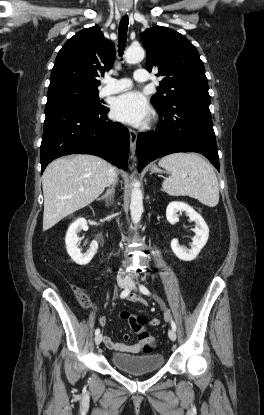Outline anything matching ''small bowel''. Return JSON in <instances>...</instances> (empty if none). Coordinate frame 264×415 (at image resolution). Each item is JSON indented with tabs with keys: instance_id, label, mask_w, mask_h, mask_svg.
<instances>
[{
	"instance_id": "obj_1",
	"label": "small bowel",
	"mask_w": 264,
	"mask_h": 415,
	"mask_svg": "<svg viewBox=\"0 0 264 415\" xmlns=\"http://www.w3.org/2000/svg\"><path fill=\"white\" fill-rule=\"evenodd\" d=\"M128 299L136 304L142 305V306H146L147 305V301L142 298L139 295H130L128 297ZM120 320L128 322L130 327L138 332L140 330V328H138L136 326V324L134 323V317H132L128 312H122L119 315ZM108 316L104 315V316H100L98 321L102 326H105L108 323ZM159 321L156 318H153L150 320L149 325L150 326H156L158 325ZM123 338V342H118L113 340L111 337H109L108 335H103V342L104 344L109 348V349H113L116 350L120 353H125V354H134V353H147L144 349H143V345L140 343H135V344H128L127 342L130 340V335L125 333L122 336Z\"/></svg>"
}]
</instances>
